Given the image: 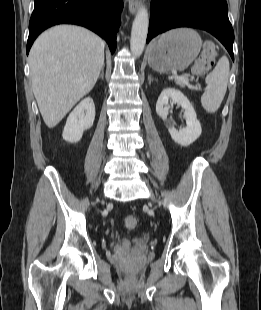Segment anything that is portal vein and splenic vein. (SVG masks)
I'll return each mask as SVG.
<instances>
[{
  "label": "portal vein and splenic vein",
  "mask_w": 261,
  "mask_h": 310,
  "mask_svg": "<svg viewBox=\"0 0 261 310\" xmlns=\"http://www.w3.org/2000/svg\"><path fill=\"white\" fill-rule=\"evenodd\" d=\"M177 73H173L172 76H170L169 78L172 79V78H177ZM188 84V83H187ZM191 89H195V90H198V88H195V87H192V86H189Z\"/></svg>",
  "instance_id": "obj_1"
}]
</instances>
